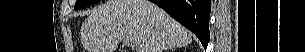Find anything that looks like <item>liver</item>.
Listing matches in <instances>:
<instances>
[{
	"label": "liver",
	"mask_w": 305,
	"mask_h": 52,
	"mask_svg": "<svg viewBox=\"0 0 305 52\" xmlns=\"http://www.w3.org/2000/svg\"><path fill=\"white\" fill-rule=\"evenodd\" d=\"M87 52H115L132 40L134 52H163L192 42L189 31L148 0H109L93 9L80 30Z\"/></svg>",
	"instance_id": "6515ba94"
}]
</instances>
